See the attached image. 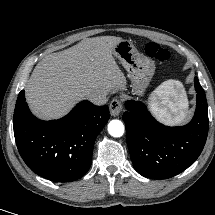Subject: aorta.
I'll use <instances>...</instances> for the list:
<instances>
[{"label": "aorta", "mask_w": 215, "mask_h": 215, "mask_svg": "<svg viewBox=\"0 0 215 215\" xmlns=\"http://www.w3.org/2000/svg\"><path fill=\"white\" fill-rule=\"evenodd\" d=\"M108 132L113 137H121L124 134V125L120 120H112L108 124Z\"/></svg>", "instance_id": "obj_1"}]
</instances>
